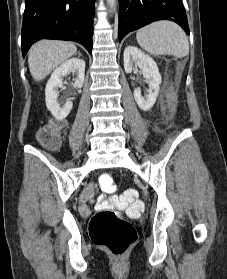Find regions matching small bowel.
<instances>
[{"label":"small bowel","instance_id":"1","mask_svg":"<svg viewBox=\"0 0 227 279\" xmlns=\"http://www.w3.org/2000/svg\"><path fill=\"white\" fill-rule=\"evenodd\" d=\"M118 209L130 216H137L143 209L144 204L141 200H135L133 197L116 196V198L107 199L99 193L96 184H89L82 196V204L79 206V212L82 215H89L92 209Z\"/></svg>","mask_w":227,"mask_h":279}]
</instances>
